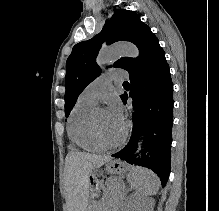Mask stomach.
<instances>
[{
    "mask_svg": "<svg viewBox=\"0 0 219 211\" xmlns=\"http://www.w3.org/2000/svg\"><path fill=\"white\" fill-rule=\"evenodd\" d=\"M105 172L107 174L116 175V174H122L129 170V166L125 164L124 162L120 160H111L107 162L105 167ZM99 173V170L94 169L89 174V184L91 187H97L98 185V179L97 174ZM91 206L87 211H90Z\"/></svg>",
    "mask_w": 219,
    "mask_h": 211,
    "instance_id": "stomach-1",
    "label": "stomach"
}]
</instances>
